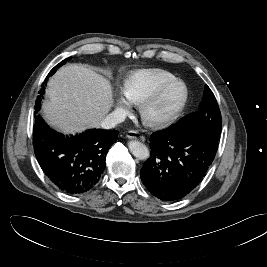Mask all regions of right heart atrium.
<instances>
[{
  "label": "right heart atrium",
  "mask_w": 267,
  "mask_h": 267,
  "mask_svg": "<svg viewBox=\"0 0 267 267\" xmlns=\"http://www.w3.org/2000/svg\"><path fill=\"white\" fill-rule=\"evenodd\" d=\"M116 107L119 111L123 112L128 111L130 108V102L122 92L119 94L117 98Z\"/></svg>",
  "instance_id": "obj_1"
}]
</instances>
